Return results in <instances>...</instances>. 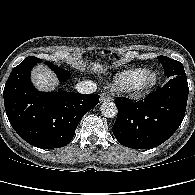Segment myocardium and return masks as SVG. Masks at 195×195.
Wrapping results in <instances>:
<instances>
[{
	"mask_svg": "<svg viewBox=\"0 0 195 195\" xmlns=\"http://www.w3.org/2000/svg\"><path fill=\"white\" fill-rule=\"evenodd\" d=\"M158 83V76L155 72L146 70L134 83L132 91L136 95H144L153 90Z\"/></svg>",
	"mask_w": 195,
	"mask_h": 195,
	"instance_id": "f54148a6",
	"label": "myocardium"
}]
</instances>
